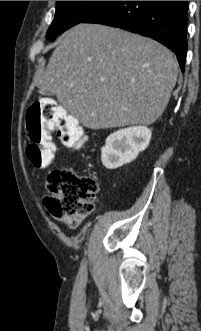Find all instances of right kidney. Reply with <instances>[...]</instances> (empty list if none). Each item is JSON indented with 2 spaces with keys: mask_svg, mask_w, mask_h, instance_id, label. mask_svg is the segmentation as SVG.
<instances>
[{
  "mask_svg": "<svg viewBox=\"0 0 201 331\" xmlns=\"http://www.w3.org/2000/svg\"><path fill=\"white\" fill-rule=\"evenodd\" d=\"M151 134L145 126L128 127L110 134L101 149L103 165L116 169L130 163L149 146Z\"/></svg>",
  "mask_w": 201,
  "mask_h": 331,
  "instance_id": "right-kidney-1",
  "label": "right kidney"
}]
</instances>
